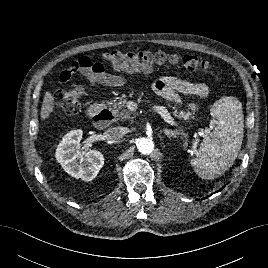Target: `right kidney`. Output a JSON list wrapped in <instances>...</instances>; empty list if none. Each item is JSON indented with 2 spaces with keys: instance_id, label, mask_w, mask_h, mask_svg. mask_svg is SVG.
<instances>
[{
  "instance_id": "1",
  "label": "right kidney",
  "mask_w": 268,
  "mask_h": 268,
  "mask_svg": "<svg viewBox=\"0 0 268 268\" xmlns=\"http://www.w3.org/2000/svg\"><path fill=\"white\" fill-rule=\"evenodd\" d=\"M82 134L80 129L68 132L56 149V159L72 177L91 181L104 165V157L97 150H80Z\"/></svg>"
}]
</instances>
